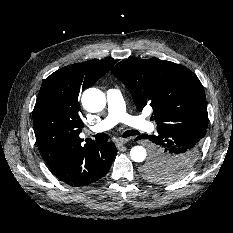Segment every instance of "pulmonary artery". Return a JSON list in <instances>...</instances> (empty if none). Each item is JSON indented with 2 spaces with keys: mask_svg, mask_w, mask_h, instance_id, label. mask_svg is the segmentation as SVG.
Masks as SVG:
<instances>
[{
  "mask_svg": "<svg viewBox=\"0 0 233 233\" xmlns=\"http://www.w3.org/2000/svg\"><path fill=\"white\" fill-rule=\"evenodd\" d=\"M106 98L107 116L102 121L91 127L92 132L99 133L107 131L119 122H122L138 131H154V124L140 116H132L126 112L124 99L119 89H108L106 92Z\"/></svg>",
  "mask_w": 233,
  "mask_h": 233,
  "instance_id": "obj_1",
  "label": "pulmonary artery"
}]
</instances>
